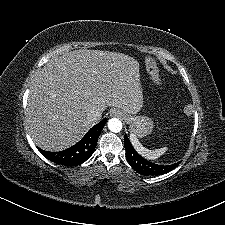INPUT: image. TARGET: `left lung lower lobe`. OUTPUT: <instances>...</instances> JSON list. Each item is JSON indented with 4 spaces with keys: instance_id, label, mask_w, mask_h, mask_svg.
I'll use <instances>...</instances> for the list:
<instances>
[{
    "instance_id": "0a47b994",
    "label": "left lung lower lobe",
    "mask_w": 225,
    "mask_h": 225,
    "mask_svg": "<svg viewBox=\"0 0 225 225\" xmlns=\"http://www.w3.org/2000/svg\"><path fill=\"white\" fill-rule=\"evenodd\" d=\"M124 146L129 164L141 175L149 176L168 173L180 164V162H178L172 165H158L147 161L135 151L126 135L124 136Z\"/></svg>"
}]
</instances>
